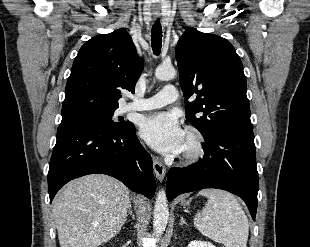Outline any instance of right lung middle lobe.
I'll return each mask as SVG.
<instances>
[{"instance_id":"obj_1","label":"right lung middle lobe","mask_w":310,"mask_h":247,"mask_svg":"<svg viewBox=\"0 0 310 247\" xmlns=\"http://www.w3.org/2000/svg\"><path fill=\"white\" fill-rule=\"evenodd\" d=\"M114 109H106L92 106H77L62 110V121L61 123L70 122H98L107 123L116 129L125 128L129 122H114L112 116L114 115Z\"/></svg>"}]
</instances>
